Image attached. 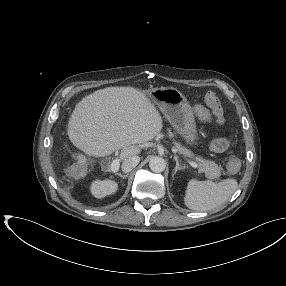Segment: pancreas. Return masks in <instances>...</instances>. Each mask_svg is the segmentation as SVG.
<instances>
[{
    "label": "pancreas",
    "mask_w": 286,
    "mask_h": 286,
    "mask_svg": "<svg viewBox=\"0 0 286 286\" xmlns=\"http://www.w3.org/2000/svg\"><path fill=\"white\" fill-rule=\"evenodd\" d=\"M169 136L172 137L173 134L169 132ZM175 148L177 151L185 157H193L190 150L181 146V144L175 142ZM199 161V171L204 172L208 179H216L221 175V167H219L215 162L209 160H203L201 158H196Z\"/></svg>",
    "instance_id": "1"
}]
</instances>
